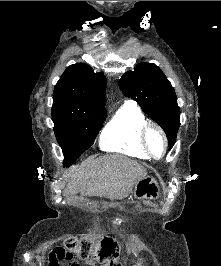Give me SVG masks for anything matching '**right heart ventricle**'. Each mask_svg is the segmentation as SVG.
<instances>
[{
	"label": "right heart ventricle",
	"mask_w": 221,
	"mask_h": 266,
	"mask_svg": "<svg viewBox=\"0 0 221 266\" xmlns=\"http://www.w3.org/2000/svg\"><path fill=\"white\" fill-rule=\"evenodd\" d=\"M146 123L140 108L132 104L123 105L101 133L102 149L141 159L149 158L141 142V131Z\"/></svg>",
	"instance_id": "1"
}]
</instances>
